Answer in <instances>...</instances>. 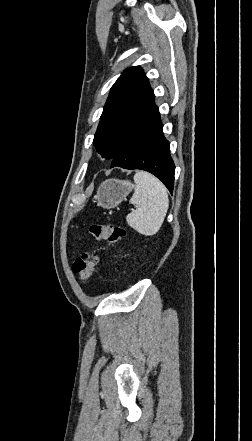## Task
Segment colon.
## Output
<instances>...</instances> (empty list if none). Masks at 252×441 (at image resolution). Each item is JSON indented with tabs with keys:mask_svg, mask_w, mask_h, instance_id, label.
Wrapping results in <instances>:
<instances>
[{
	"mask_svg": "<svg viewBox=\"0 0 252 441\" xmlns=\"http://www.w3.org/2000/svg\"><path fill=\"white\" fill-rule=\"evenodd\" d=\"M89 231L96 240H106L110 243L119 242L126 235L124 228L113 224H93ZM98 261L96 253L84 252L74 261L72 270L82 283H89Z\"/></svg>",
	"mask_w": 252,
	"mask_h": 441,
	"instance_id": "obj_1",
	"label": "colon"
}]
</instances>
